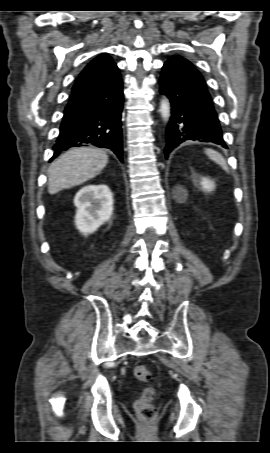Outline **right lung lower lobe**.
I'll list each match as a JSON object with an SVG mask.
<instances>
[{"instance_id": "obj_1", "label": "right lung lower lobe", "mask_w": 270, "mask_h": 453, "mask_svg": "<svg viewBox=\"0 0 270 453\" xmlns=\"http://www.w3.org/2000/svg\"><path fill=\"white\" fill-rule=\"evenodd\" d=\"M122 80L118 68L102 80L72 89L54 155L89 144L112 150L122 161Z\"/></svg>"}]
</instances>
